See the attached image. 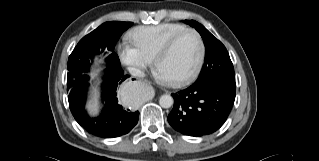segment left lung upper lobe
I'll use <instances>...</instances> for the list:
<instances>
[{"mask_svg": "<svg viewBox=\"0 0 319 161\" xmlns=\"http://www.w3.org/2000/svg\"><path fill=\"white\" fill-rule=\"evenodd\" d=\"M184 22L200 33L205 45L204 65L195 83L220 82L235 87L234 68L225 46L200 23Z\"/></svg>", "mask_w": 319, "mask_h": 161, "instance_id": "left-lung-upper-lobe-1", "label": "left lung upper lobe"}]
</instances>
